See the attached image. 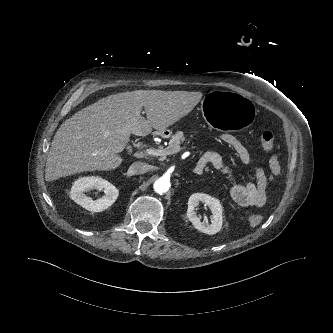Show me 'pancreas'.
Masks as SVG:
<instances>
[{"mask_svg": "<svg viewBox=\"0 0 333 333\" xmlns=\"http://www.w3.org/2000/svg\"><path fill=\"white\" fill-rule=\"evenodd\" d=\"M185 141V135L182 131L174 133L169 141L166 150L172 154L177 153L180 150V144Z\"/></svg>", "mask_w": 333, "mask_h": 333, "instance_id": "obj_1", "label": "pancreas"}]
</instances>
